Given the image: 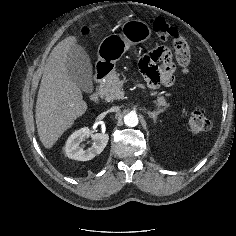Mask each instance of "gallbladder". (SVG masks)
Wrapping results in <instances>:
<instances>
[{
	"label": "gallbladder",
	"instance_id": "gallbladder-1",
	"mask_svg": "<svg viewBox=\"0 0 236 236\" xmlns=\"http://www.w3.org/2000/svg\"><path fill=\"white\" fill-rule=\"evenodd\" d=\"M66 68L70 78L82 91L92 92V65L87 52L81 46H73L68 54Z\"/></svg>",
	"mask_w": 236,
	"mask_h": 236
}]
</instances>
